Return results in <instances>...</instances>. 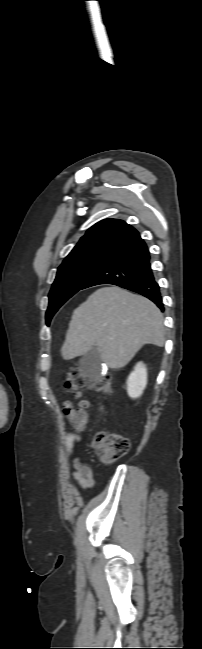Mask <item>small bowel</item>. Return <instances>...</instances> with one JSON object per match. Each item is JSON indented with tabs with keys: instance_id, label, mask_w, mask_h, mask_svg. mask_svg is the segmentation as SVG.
I'll return each mask as SVG.
<instances>
[{
	"instance_id": "small-bowel-1",
	"label": "small bowel",
	"mask_w": 202,
	"mask_h": 649,
	"mask_svg": "<svg viewBox=\"0 0 202 649\" xmlns=\"http://www.w3.org/2000/svg\"><path fill=\"white\" fill-rule=\"evenodd\" d=\"M81 441L80 435L67 432L65 436V446L67 450L72 453L74 444ZM73 473L71 477L78 483L83 491H90L94 488L95 482L93 478V471L90 466L83 463L79 458H74L72 461Z\"/></svg>"
}]
</instances>
